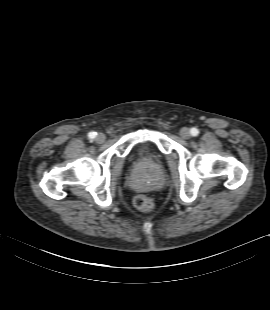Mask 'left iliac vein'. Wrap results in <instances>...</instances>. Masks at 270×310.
Listing matches in <instances>:
<instances>
[{
  "label": "left iliac vein",
  "instance_id": "left-iliac-vein-1",
  "mask_svg": "<svg viewBox=\"0 0 270 310\" xmlns=\"http://www.w3.org/2000/svg\"><path fill=\"white\" fill-rule=\"evenodd\" d=\"M180 136L183 138V139H189L191 137V132L188 128L184 127L180 130L179 132Z\"/></svg>",
  "mask_w": 270,
  "mask_h": 310
}]
</instances>
